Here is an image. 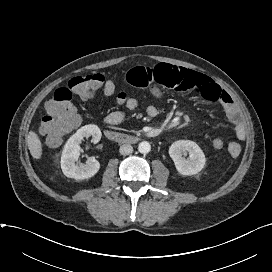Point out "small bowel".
Wrapping results in <instances>:
<instances>
[{"mask_svg":"<svg viewBox=\"0 0 272 272\" xmlns=\"http://www.w3.org/2000/svg\"><path fill=\"white\" fill-rule=\"evenodd\" d=\"M126 79L130 85L148 89L158 97L162 95L163 90L170 89L180 93L198 95L204 100L220 106L233 125L236 136L228 144L227 151L231 157L239 155L241 143L246 137V129L240 113L231 96L207 76L170 64H156L132 68L127 72ZM158 112L154 105H149L146 109V113L150 117H156ZM124 118L125 112L117 110L109 113L105 117L104 123L108 126H116Z\"/></svg>","mask_w":272,"mask_h":272,"instance_id":"small-bowel-1","label":"small bowel"}]
</instances>
